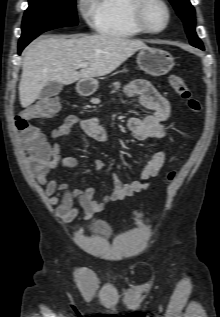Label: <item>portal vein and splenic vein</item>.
Segmentation results:
<instances>
[{"instance_id": "1", "label": "portal vein and splenic vein", "mask_w": 220, "mask_h": 317, "mask_svg": "<svg viewBox=\"0 0 220 317\" xmlns=\"http://www.w3.org/2000/svg\"><path fill=\"white\" fill-rule=\"evenodd\" d=\"M89 66L88 63H80L77 65V68H87Z\"/></svg>"}]
</instances>
